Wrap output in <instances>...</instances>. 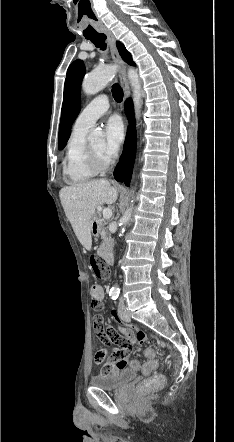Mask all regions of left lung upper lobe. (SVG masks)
<instances>
[{"label":"left lung upper lobe","instance_id":"1","mask_svg":"<svg viewBox=\"0 0 234 442\" xmlns=\"http://www.w3.org/2000/svg\"><path fill=\"white\" fill-rule=\"evenodd\" d=\"M117 48L126 63L135 65L123 44L117 42ZM84 75L85 65L81 60L74 61L67 70L58 137L59 149L66 145L71 134L72 124L80 111V89Z\"/></svg>","mask_w":234,"mask_h":442}]
</instances>
